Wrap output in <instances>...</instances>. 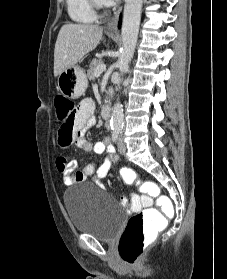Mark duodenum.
Masks as SVG:
<instances>
[{
  "instance_id": "1",
  "label": "duodenum",
  "mask_w": 227,
  "mask_h": 279,
  "mask_svg": "<svg viewBox=\"0 0 227 279\" xmlns=\"http://www.w3.org/2000/svg\"><path fill=\"white\" fill-rule=\"evenodd\" d=\"M102 116L105 119H109L110 118V116H111V106L106 105V106L103 107V109H102Z\"/></svg>"
}]
</instances>
